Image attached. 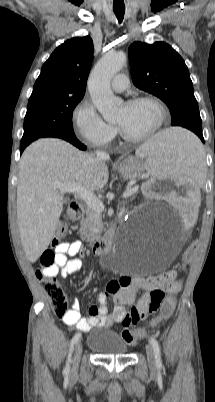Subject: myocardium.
Listing matches in <instances>:
<instances>
[{
    "instance_id": "f54148a6",
    "label": "myocardium",
    "mask_w": 215,
    "mask_h": 402,
    "mask_svg": "<svg viewBox=\"0 0 215 402\" xmlns=\"http://www.w3.org/2000/svg\"><path fill=\"white\" fill-rule=\"evenodd\" d=\"M140 102H150L152 103L158 110V121L155 125V127L149 131L148 133L140 136H132L127 134L119 125H118V130L121 135V137L128 142L131 143H139L143 142L146 140L151 139L154 137L164 126L165 120H166V108L164 104L156 97L151 96V95H142V96H136L133 97L125 102L126 105H134Z\"/></svg>"
}]
</instances>
